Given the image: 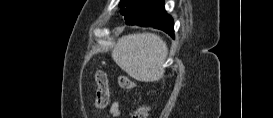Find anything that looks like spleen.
<instances>
[{
    "label": "spleen",
    "mask_w": 273,
    "mask_h": 118,
    "mask_svg": "<svg viewBox=\"0 0 273 118\" xmlns=\"http://www.w3.org/2000/svg\"><path fill=\"white\" fill-rule=\"evenodd\" d=\"M168 54L166 43L152 33L129 34L112 50L116 64L132 78L142 82L158 81L164 76Z\"/></svg>",
    "instance_id": "1"
}]
</instances>
